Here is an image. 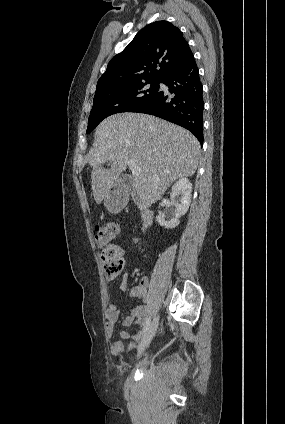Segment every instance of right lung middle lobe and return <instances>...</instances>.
I'll return each mask as SVG.
<instances>
[{
  "label": "right lung middle lobe",
  "mask_w": 285,
  "mask_h": 424,
  "mask_svg": "<svg viewBox=\"0 0 285 424\" xmlns=\"http://www.w3.org/2000/svg\"><path fill=\"white\" fill-rule=\"evenodd\" d=\"M159 80H146L97 90L88 119L86 133L92 132L106 117L129 112L144 103L159 91Z\"/></svg>",
  "instance_id": "right-lung-middle-lobe-1"
}]
</instances>
